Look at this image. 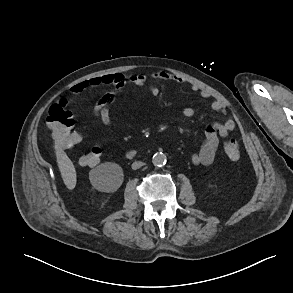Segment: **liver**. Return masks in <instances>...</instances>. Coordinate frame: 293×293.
<instances>
[{"label": "liver", "instance_id": "liver-1", "mask_svg": "<svg viewBox=\"0 0 293 293\" xmlns=\"http://www.w3.org/2000/svg\"><path fill=\"white\" fill-rule=\"evenodd\" d=\"M55 153L63 182L68 189L72 190L77 182L74 164L60 147H55Z\"/></svg>", "mask_w": 293, "mask_h": 293}]
</instances>
